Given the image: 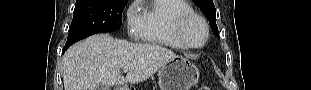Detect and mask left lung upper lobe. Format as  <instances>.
Wrapping results in <instances>:
<instances>
[{"mask_svg":"<svg viewBox=\"0 0 311 90\" xmlns=\"http://www.w3.org/2000/svg\"><path fill=\"white\" fill-rule=\"evenodd\" d=\"M194 2L201 8L204 15L209 20L212 31L215 36L219 37L218 28L216 25L215 17H216V9L212 0H194Z\"/></svg>","mask_w":311,"mask_h":90,"instance_id":"1","label":"left lung upper lobe"}]
</instances>
